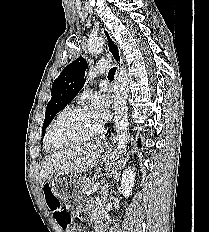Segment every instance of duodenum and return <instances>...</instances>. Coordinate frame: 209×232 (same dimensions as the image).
<instances>
[{"instance_id": "obj_1", "label": "duodenum", "mask_w": 209, "mask_h": 232, "mask_svg": "<svg viewBox=\"0 0 209 232\" xmlns=\"http://www.w3.org/2000/svg\"><path fill=\"white\" fill-rule=\"evenodd\" d=\"M99 229H101V224H99Z\"/></svg>"}]
</instances>
